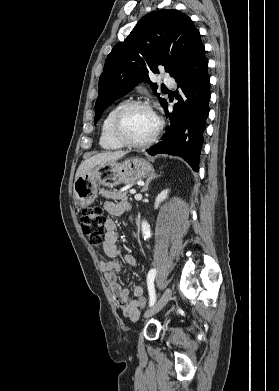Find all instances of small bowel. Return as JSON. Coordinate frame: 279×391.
Here are the masks:
<instances>
[{
  "mask_svg": "<svg viewBox=\"0 0 279 391\" xmlns=\"http://www.w3.org/2000/svg\"><path fill=\"white\" fill-rule=\"evenodd\" d=\"M103 208L108 214L119 216L129 208V205L124 201L118 203L107 201L104 203ZM105 227L106 234L103 242V251L110 260L101 261V270L105 275V279L123 316L131 321H137L140 315L137 298L143 296V289L140 285H133L131 290L122 288L117 281L118 275L124 273V262L135 265L136 261L130 255H122V252L117 245L118 233L116 230V223L112 219H107Z\"/></svg>",
  "mask_w": 279,
  "mask_h": 391,
  "instance_id": "1",
  "label": "small bowel"
}]
</instances>
